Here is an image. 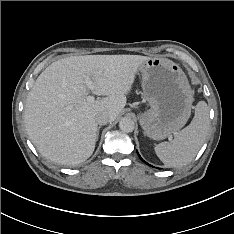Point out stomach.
Masks as SVG:
<instances>
[{
    "label": "stomach",
    "instance_id": "0dacf381",
    "mask_svg": "<svg viewBox=\"0 0 234 234\" xmlns=\"http://www.w3.org/2000/svg\"><path fill=\"white\" fill-rule=\"evenodd\" d=\"M150 109L141 114L144 133L162 140L180 130L191 115L193 91L181 67L166 58H149L138 68Z\"/></svg>",
    "mask_w": 234,
    "mask_h": 234
}]
</instances>
